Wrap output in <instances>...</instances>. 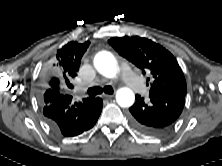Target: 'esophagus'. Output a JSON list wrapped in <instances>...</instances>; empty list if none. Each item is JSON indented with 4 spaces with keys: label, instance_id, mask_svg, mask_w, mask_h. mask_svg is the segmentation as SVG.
Returning <instances> with one entry per match:
<instances>
[{
    "label": "esophagus",
    "instance_id": "esophagus-1",
    "mask_svg": "<svg viewBox=\"0 0 222 166\" xmlns=\"http://www.w3.org/2000/svg\"><path fill=\"white\" fill-rule=\"evenodd\" d=\"M114 97V94H104V98L111 99Z\"/></svg>",
    "mask_w": 222,
    "mask_h": 166
}]
</instances>
